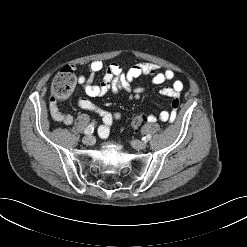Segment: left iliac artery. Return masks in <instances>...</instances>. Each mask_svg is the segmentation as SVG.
<instances>
[{
  "instance_id": "obj_1",
  "label": "left iliac artery",
  "mask_w": 247,
  "mask_h": 247,
  "mask_svg": "<svg viewBox=\"0 0 247 247\" xmlns=\"http://www.w3.org/2000/svg\"><path fill=\"white\" fill-rule=\"evenodd\" d=\"M151 139V135L148 134L146 135L142 140H144L145 142L149 141Z\"/></svg>"
}]
</instances>
